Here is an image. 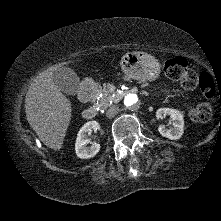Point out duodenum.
<instances>
[{
    "instance_id": "1",
    "label": "duodenum",
    "mask_w": 221,
    "mask_h": 221,
    "mask_svg": "<svg viewBox=\"0 0 221 221\" xmlns=\"http://www.w3.org/2000/svg\"><path fill=\"white\" fill-rule=\"evenodd\" d=\"M100 88V85L95 82L86 83L81 87L79 97L85 102L93 101L100 92ZM96 115L97 106L95 104H91L82 113L83 118L88 120L93 119Z\"/></svg>"
}]
</instances>
